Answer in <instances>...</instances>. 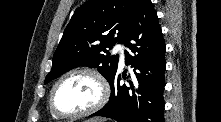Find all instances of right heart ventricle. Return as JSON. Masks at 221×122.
<instances>
[{
    "label": "right heart ventricle",
    "mask_w": 221,
    "mask_h": 122,
    "mask_svg": "<svg viewBox=\"0 0 221 122\" xmlns=\"http://www.w3.org/2000/svg\"><path fill=\"white\" fill-rule=\"evenodd\" d=\"M52 115H53L54 117H56V115H54L53 113H52Z\"/></svg>",
    "instance_id": "e07e8e85"
}]
</instances>
